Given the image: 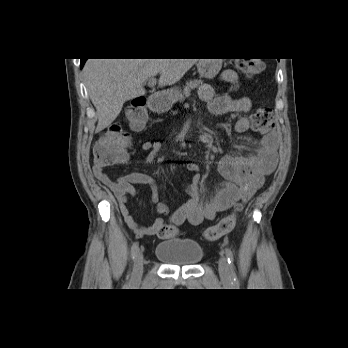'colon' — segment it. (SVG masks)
Instances as JSON below:
<instances>
[{
  "instance_id": "obj_1",
  "label": "colon",
  "mask_w": 348,
  "mask_h": 348,
  "mask_svg": "<svg viewBox=\"0 0 348 348\" xmlns=\"http://www.w3.org/2000/svg\"><path fill=\"white\" fill-rule=\"evenodd\" d=\"M238 69L248 77L258 75L263 70V63L258 58L239 59ZM129 125L135 130H141L147 123V113L145 100L143 97L135 98L125 114ZM251 127L259 133H269L274 130L275 123L273 112L267 108L257 109L250 117ZM131 149V138L124 131L120 123L112 124L96 142L93 154L97 165L107 166L117 164L122 161ZM240 205L236 206L235 211L223 217L216 225L209 227L205 231V237L209 241H215L229 234L235 227L237 212ZM178 230L173 225H164L159 230V236L170 238L176 236Z\"/></svg>"
}]
</instances>
